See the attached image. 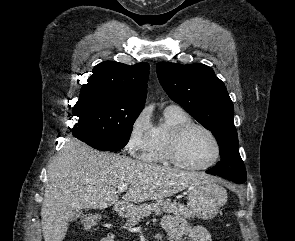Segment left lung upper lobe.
I'll return each mask as SVG.
<instances>
[{
    "label": "left lung upper lobe",
    "instance_id": "left-lung-upper-lobe-1",
    "mask_svg": "<svg viewBox=\"0 0 295 241\" xmlns=\"http://www.w3.org/2000/svg\"><path fill=\"white\" fill-rule=\"evenodd\" d=\"M156 70L169 97L217 139L222 160L210 171L233 182L244 183L246 169L238 151L233 102L224 83L204 64L160 62Z\"/></svg>",
    "mask_w": 295,
    "mask_h": 241
}]
</instances>
